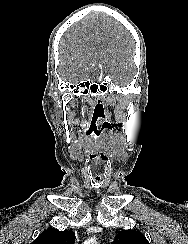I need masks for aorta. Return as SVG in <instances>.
I'll return each mask as SVG.
<instances>
[{"mask_svg": "<svg viewBox=\"0 0 188 244\" xmlns=\"http://www.w3.org/2000/svg\"><path fill=\"white\" fill-rule=\"evenodd\" d=\"M95 243H96L95 238H89L83 244H95Z\"/></svg>", "mask_w": 188, "mask_h": 244, "instance_id": "aorta-1", "label": "aorta"}]
</instances>
